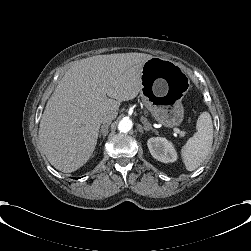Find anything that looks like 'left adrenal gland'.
Wrapping results in <instances>:
<instances>
[{"label":"left adrenal gland","mask_w":251,"mask_h":251,"mask_svg":"<svg viewBox=\"0 0 251 251\" xmlns=\"http://www.w3.org/2000/svg\"><path fill=\"white\" fill-rule=\"evenodd\" d=\"M141 121L143 122V127H144L146 130L151 129L152 131L155 132V134H158V130L155 129V128H153L152 125H151V123L148 122V120H147L144 116L141 117Z\"/></svg>","instance_id":"left-adrenal-gland-1"}]
</instances>
